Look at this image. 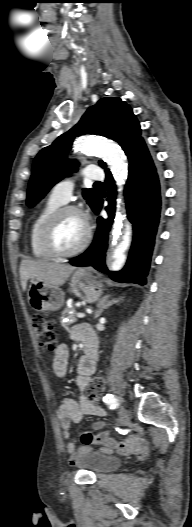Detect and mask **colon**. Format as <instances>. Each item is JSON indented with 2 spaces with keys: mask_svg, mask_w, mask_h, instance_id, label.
Returning a JSON list of instances; mask_svg holds the SVG:
<instances>
[{
  "mask_svg": "<svg viewBox=\"0 0 192 527\" xmlns=\"http://www.w3.org/2000/svg\"><path fill=\"white\" fill-rule=\"evenodd\" d=\"M33 329L38 344L47 350H53L57 344V334L55 327L40 316L33 318ZM104 381L102 378H94L92 386L88 392V397L94 402H98L103 390Z\"/></svg>",
  "mask_w": 192,
  "mask_h": 527,
  "instance_id": "1",
  "label": "colon"
}]
</instances>
